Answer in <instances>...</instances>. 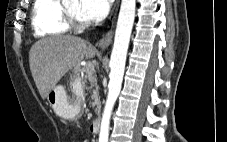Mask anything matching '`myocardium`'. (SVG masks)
<instances>
[{
	"label": "myocardium",
	"mask_w": 227,
	"mask_h": 142,
	"mask_svg": "<svg viewBox=\"0 0 227 142\" xmlns=\"http://www.w3.org/2000/svg\"><path fill=\"white\" fill-rule=\"evenodd\" d=\"M62 14L66 24L70 28L83 29L88 26V23L85 20H82L76 15L72 14L66 7H62Z\"/></svg>",
	"instance_id": "obj_1"
}]
</instances>
